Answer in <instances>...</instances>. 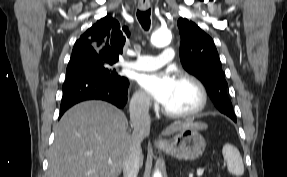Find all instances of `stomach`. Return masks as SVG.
Here are the masks:
<instances>
[{
    "label": "stomach",
    "instance_id": "obj_1",
    "mask_svg": "<svg viewBox=\"0 0 287 177\" xmlns=\"http://www.w3.org/2000/svg\"><path fill=\"white\" fill-rule=\"evenodd\" d=\"M206 147L205 139L198 129L186 127L178 131L165 145L158 148L168 155L185 160L193 161L202 156Z\"/></svg>",
    "mask_w": 287,
    "mask_h": 177
}]
</instances>
